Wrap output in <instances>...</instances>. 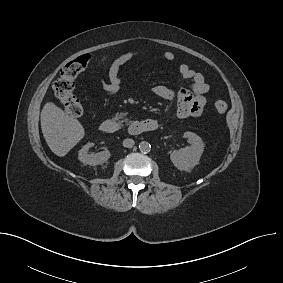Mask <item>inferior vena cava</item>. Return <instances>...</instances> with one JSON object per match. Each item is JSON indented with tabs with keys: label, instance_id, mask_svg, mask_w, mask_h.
<instances>
[{
	"label": "inferior vena cava",
	"instance_id": "1",
	"mask_svg": "<svg viewBox=\"0 0 283 283\" xmlns=\"http://www.w3.org/2000/svg\"><path fill=\"white\" fill-rule=\"evenodd\" d=\"M122 144H123V146L126 147V148H132V147L134 146L135 142H134L133 139L127 138V139L123 140V143H122Z\"/></svg>",
	"mask_w": 283,
	"mask_h": 283
}]
</instances>
